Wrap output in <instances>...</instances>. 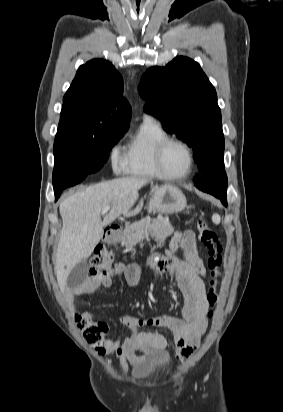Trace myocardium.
Instances as JSON below:
<instances>
[{"mask_svg": "<svg viewBox=\"0 0 283 412\" xmlns=\"http://www.w3.org/2000/svg\"><path fill=\"white\" fill-rule=\"evenodd\" d=\"M171 144H178V145L182 146L186 150V152L189 156V168L182 175L170 174L164 168V165H163L164 154H165V151L168 148V146H170ZM155 165H156V168H157V170L159 172V175L161 177L171 179V180H182V179L187 178L192 173V171L194 169V166H195L194 152H193L192 148L190 147V145L188 143H186L185 141H183L182 139H179V138H176V137H167L164 140H162L159 143V145L157 146V149H156V152H155Z\"/></svg>", "mask_w": 283, "mask_h": 412, "instance_id": "obj_1", "label": "myocardium"}]
</instances>
